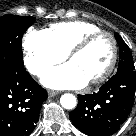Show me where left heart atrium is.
I'll list each match as a JSON object with an SVG mask.
<instances>
[{"label": "left heart atrium", "mask_w": 136, "mask_h": 136, "mask_svg": "<svg viewBox=\"0 0 136 136\" xmlns=\"http://www.w3.org/2000/svg\"><path fill=\"white\" fill-rule=\"evenodd\" d=\"M42 83L53 89H77L84 87L88 80L72 63H66L49 70L43 77Z\"/></svg>", "instance_id": "obj_1"}]
</instances>
